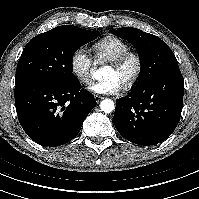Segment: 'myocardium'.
<instances>
[{"mask_svg": "<svg viewBox=\"0 0 199 199\" xmlns=\"http://www.w3.org/2000/svg\"><path fill=\"white\" fill-rule=\"evenodd\" d=\"M130 60L134 62L135 69L132 75L127 78L123 83L124 87L126 88L135 85L142 75L144 62L141 54L134 50H128L127 52L123 53L122 55L110 62L111 66L120 69Z\"/></svg>", "mask_w": 199, "mask_h": 199, "instance_id": "obj_1", "label": "myocardium"}]
</instances>
